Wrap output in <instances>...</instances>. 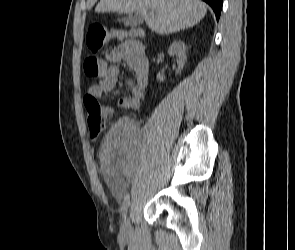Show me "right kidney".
I'll return each mask as SVG.
<instances>
[{"mask_svg": "<svg viewBox=\"0 0 295 250\" xmlns=\"http://www.w3.org/2000/svg\"><path fill=\"white\" fill-rule=\"evenodd\" d=\"M169 55H176L177 57V64H178V70L177 73H179L186 61H187V56H186V45L183 41H174L169 49H168ZM165 79L164 75H161L160 73L157 74V80L160 82H163Z\"/></svg>", "mask_w": 295, "mask_h": 250, "instance_id": "ca27d5eb", "label": "right kidney"}]
</instances>
